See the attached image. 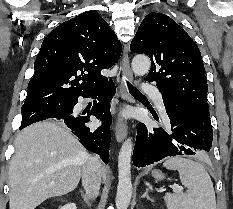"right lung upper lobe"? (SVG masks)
<instances>
[{
	"label": "right lung upper lobe",
	"instance_id": "cb5924a9",
	"mask_svg": "<svg viewBox=\"0 0 233 209\" xmlns=\"http://www.w3.org/2000/svg\"><path fill=\"white\" fill-rule=\"evenodd\" d=\"M120 55V41L96 12L65 21L43 40L24 103L74 100L95 91L108 82L101 70Z\"/></svg>",
	"mask_w": 233,
	"mask_h": 209
}]
</instances>
